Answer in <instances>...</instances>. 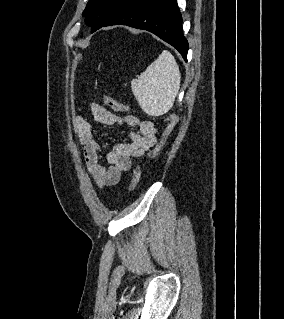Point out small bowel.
Returning a JSON list of instances; mask_svg holds the SVG:
<instances>
[{"instance_id": "small-bowel-1", "label": "small bowel", "mask_w": 284, "mask_h": 319, "mask_svg": "<svg viewBox=\"0 0 284 319\" xmlns=\"http://www.w3.org/2000/svg\"><path fill=\"white\" fill-rule=\"evenodd\" d=\"M89 109L94 120L104 125L126 124L138 128L137 132L130 133L129 143L115 144L103 155L89 121L81 116L74 119V130L84 151L87 172L98 188L115 187L121 175L131 169L132 159L141 157L155 146L158 130L151 121L141 120L135 115L121 118L96 103H91Z\"/></svg>"}]
</instances>
